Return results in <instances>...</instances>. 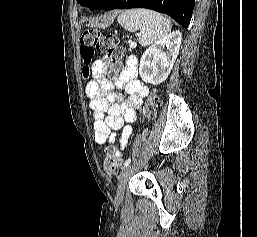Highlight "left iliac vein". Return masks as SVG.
<instances>
[{
  "instance_id": "left-iliac-vein-1",
  "label": "left iliac vein",
  "mask_w": 257,
  "mask_h": 237,
  "mask_svg": "<svg viewBox=\"0 0 257 237\" xmlns=\"http://www.w3.org/2000/svg\"><path fill=\"white\" fill-rule=\"evenodd\" d=\"M133 169H134V164H130L124 168V170L122 171V173L119 176L118 187H117V196H116V198L118 200H122V198H123L125 187L127 185V182L130 178V175H131Z\"/></svg>"
}]
</instances>
